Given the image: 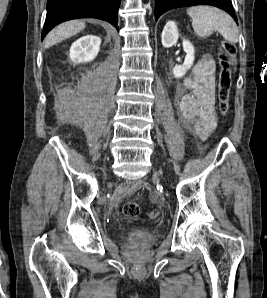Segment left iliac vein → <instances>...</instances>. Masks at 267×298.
<instances>
[{"mask_svg":"<svg viewBox=\"0 0 267 298\" xmlns=\"http://www.w3.org/2000/svg\"><path fill=\"white\" fill-rule=\"evenodd\" d=\"M154 175H155V176H161V173L155 171V172H154Z\"/></svg>","mask_w":267,"mask_h":298,"instance_id":"4c4485c4","label":"left iliac vein"}]
</instances>
